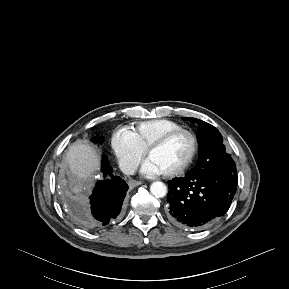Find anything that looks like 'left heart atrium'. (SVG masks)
Returning <instances> with one entry per match:
<instances>
[{"label": "left heart atrium", "mask_w": 289, "mask_h": 289, "mask_svg": "<svg viewBox=\"0 0 289 289\" xmlns=\"http://www.w3.org/2000/svg\"><path fill=\"white\" fill-rule=\"evenodd\" d=\"M143 172L148 175H160L162 172L160 169L149 159L143 165Z\"/></svg>", "instance_id": "1"}]
</instances>
